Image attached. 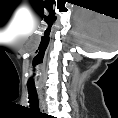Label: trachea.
Masks as SVG:
<instances>
[{
	"label": "trachea",
	"instance_id": "1",
	"mask_svg": "<svg viewBox=\"0 0 118 118\" xmlns=\"http://www.w3.org/2000/svg\"><path fill=\"white\" fill-rule=\"evenodd\" d=\"M28 93H29L30 106L38 109L39 101H38V95H37L36 90L35 89H28Z\"/></svg>",
	"mask_w": 118,
	"mask_h": 118
}]
</instances>
